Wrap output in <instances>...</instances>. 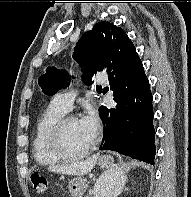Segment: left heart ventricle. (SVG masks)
Masks as SVG:
<instances>
[{"label": "left heart ventricle", "instance_id": "1", "mask_svg": "<svg viewBox=\"0 0 191 197\" xmlns=\"http://www.w3.org/2000/svg\"><path fill=\"white\" fill-rule=\"evenodd\" d=\"M91 143L92 141L85 135L78 120L66 124L63 132V144L68 152L80 153Z\"/></svg>", "mask_w": 191, "mask_h": 197}]
</instances>
